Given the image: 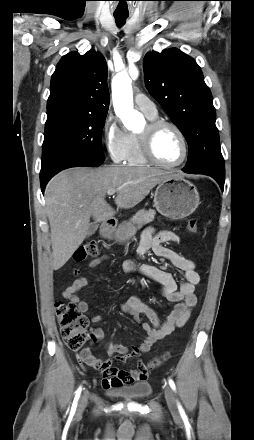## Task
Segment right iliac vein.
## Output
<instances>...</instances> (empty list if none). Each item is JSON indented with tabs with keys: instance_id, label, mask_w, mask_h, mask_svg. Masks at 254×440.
Listing matches in <instances>:
<instances>
[{
	"instance_id": "63e3f726",
	"label": "right iliac vein",
	"mask_w": 254,
	"mask_h": 440,
	"mask_svg": "<svg viewBox=\"0 0 254 440\" xmlns=\"http://www.w3.org/2000/svg\"><path fill=\"white\" fill-rule=\"evenodd\" d=\"M87 404H88V395L87 393H84L79 400L77 414H81L86 408Z\"/></svg>"
}]
</instances>
